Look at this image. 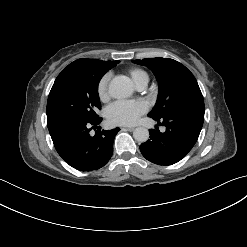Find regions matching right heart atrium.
Instances as JSON below:
<instances>
[{
  "instance_id": "1",
  "label": "right heart atrium",
  "mask_w": 247,
  "mask_h": 247,
  "mask_svg": "<svg viewBox=\"0 0 247 247\" xmlns=\"http://www.w3.org/2000/svg\"><path fill=\"white\" fill-rule=\"evenodd\" d=\"M108 81H109V76L104 75L98 82L97 95L101 102H107L110 98L108 92Z\"/></svg>"
}]
</instances>
